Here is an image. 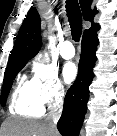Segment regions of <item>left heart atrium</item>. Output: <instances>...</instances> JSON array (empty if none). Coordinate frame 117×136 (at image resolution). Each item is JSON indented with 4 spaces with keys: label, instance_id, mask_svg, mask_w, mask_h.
Segmentation results:
<instances>
[{
    "label": "left heart atrium",
    "instance_id": "1",
    "mask_svg": "<svg viewBox=\"0 0 117 136\" xmlns=\"http://www.w3.org/2000/svg\"><path fill=\"white\" fill-rule=\"evenodd\" d=\"M63 78L67 83L72 82L77 76V67L72 62H67L62 70Z\"/></svg>",
    "mask_w": 117,
    "mask_h": 136
}]
</instances>
